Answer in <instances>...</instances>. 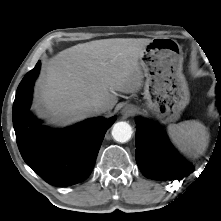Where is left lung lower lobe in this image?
<instances>
[{"instance_id":"obj_1","label":"left lung lower lobe","mask_w":221,"mask_h":221,"mask_svg":"<svg viewBox=\"0 0 221 221\" xmlns=\"http://www.w3.org/2000/svg\"><path fill=\"white\" fill-rule=\"evenodd\" d=\"M216 93V105L221 113L220 84L217 85ZM217 141L221 143V136L218 135ZM135 143L138 167L147 178L159 181L181 180L194 169L175 151L155 122L137 119Z\"/></svg>"}]
</instances>
